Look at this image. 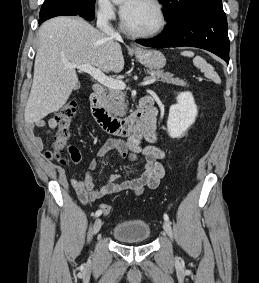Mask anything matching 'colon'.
Here are the masks:
<instances>
[{
    "label": "colon",
    "instance_id": "5ec220e1",
    "mask_svg": "<svg viewBox=\"0 0 259 283\" xmlns=\"http://www.w3.org/2000/svg\"><path fill=\"white\" fill-rule=\"evenodd\" d=\"M78 105L75 100H70L65 103L55 114V122L57 131L54 138L53 150L49 152V157L52 159H60L66 161L67 159L78 162L80 160V153L77 148L67 146V140L70 137V129L73 118L77 113ZM101 211L104 215H108L112 211L109 204L101 206Z\"/></svg>",
    "mask_w": 259,
    "mask_h": 283
}]
</instances>
